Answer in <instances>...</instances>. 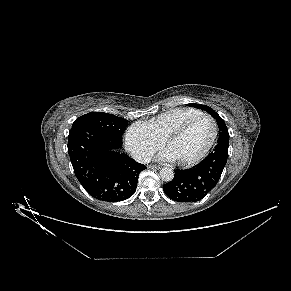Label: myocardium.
<instances>
[{"mask_svg":"<svg viewBox=\"0 0 291 291\" xmlns=\"http://www.w3.org/2000/svg\"><path fill=\"white\" fill-rule=\"evenodd\" d=\"M202 118L208 119L212 123V126H213L212 137H211L208 145L205 147V149L199 155H197L196 157H194V158H192L190 160H187V161L174 160L179 166L189 167V166L195 165V164L199 163L200 161H202L209 154V152L213 148V146H214V144H215V142L217 140V136H218V125H217L216 120L212 116H210L208 114L202 113V114L196 115V116L186 120L180 126H178L175 130H173L171 133H169L166 136V138L163 140V145H164L165 148H167L168 145L172 141H174L175 139L179 138L182 134H184V132L194 122H196L197 120L202 119Z\"/></svg>","mask_w":291,"mask_h":291,"instance_id":"myocardium-1","label":"myocardium"}]
</instances>
